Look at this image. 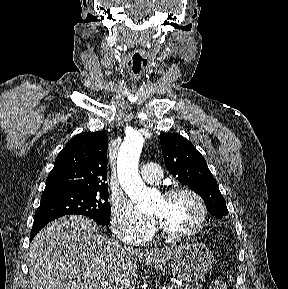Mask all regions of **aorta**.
Masks as SVG:
<instances>
[{"mask_svg": "<svg viewBox=\"0 0 288 289\" xmlns=\"http://www.w3.org/2000/svg\"><path fill=\"white\" fill-rule=\"evenodd\" d=\"M143 142L139 133H133L124 140L118 153L117 173L129 198L142 212H149L154 208L155 194L143 183L138 171Z\"/></svg>", "mask_w": 288, "mask_h": 289, "instance_id": "obj_1", "label": "aorta"}]
</instances>
